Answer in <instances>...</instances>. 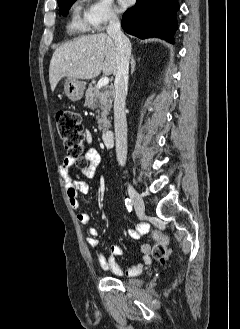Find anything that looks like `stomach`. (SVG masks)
Here are the masks:
<instances>
[{
	"mask_svg": "<svg viewBox=\"0 0 240 329\" xmlns=\"http://www.w3.org/2000/svg\"><path fill=\"white\" fill-rule=\"evenodd\" d=\"M85 83L79 79L64 78V93L71 101H78L83 97Z\"/></svg>",
	"mask_w": 240,
	"mask_h": 329,
	"instance_id": "obj_1",
	"label": "stomach"
}]
</instances>
